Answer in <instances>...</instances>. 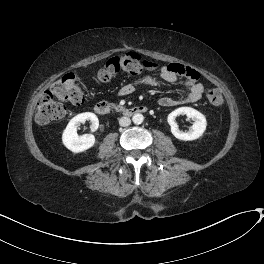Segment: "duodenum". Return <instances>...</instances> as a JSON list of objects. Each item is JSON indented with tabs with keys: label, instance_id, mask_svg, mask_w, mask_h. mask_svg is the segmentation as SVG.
<instances>
[{
	"label": "duodenum",
	"instance_id": "410a0bca",
	"mask_svg": "<svg viewBox=\"0 0 264 264\" xmlns=\"http://www.w3.org/2000/svg\"><path fill=\"white\" fill-rule=\"evenodd\" d=\"M110 105L106 101H100L96 103L95 105V111L99 115H108L110 113ZM147 112V107L145 106H128V107H123L120 110V113L123 116L130 117L136 114H144Z\"/></svg>",
	"mask_w": 264,
	"mask_h": 264
}]
</instances>
